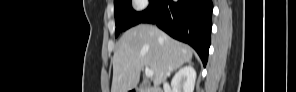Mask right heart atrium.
Here are the masks:
<instances>
[{
  "label": "right heart atrium",
  "mask_w": 296,
  "mask_h": 92,
  "mask_svg": "<svg viewBox=\"0 0 296 92\" xmlns=\"http://www.w3.org/2000/svg\"><path fill=\"white\" fill-rule=\"evenodd\" d=\"M134 4L138 11H142L147 7L146 1L137 0V1H134Z\"/></svg>",
  "instance_id": "d8ad5b80"
}]
</instances>
